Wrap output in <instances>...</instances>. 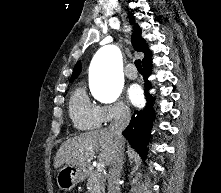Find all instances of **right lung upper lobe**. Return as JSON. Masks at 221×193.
Wrapping results in <instances>:
<instances>
[{
	"label": "right lung upper lobe",
	"mask_w": 221,
	"mask_h": 193,
	"mask_svg": "<svg viewBox=\"0 0 221 193\" xmlns=\"http://www.w3.org/2000/svg\"><path fill=\"white\" fill-rule=\"evenodd\" d=\"M131 42H132L133 48L136 51H141L144 53L145 57L142 60V64L150 63L152 54L150 50L148 49L145 41L141 39V29L138 25L135 26V30L131 37ZM80 72H81V63L80 61H78L74 67L73 74H72L70 81L74 80L80 74Z\"/></svg>",
	"instance_id": "right-lung-upper-lobe-1"
}]
</instances>
